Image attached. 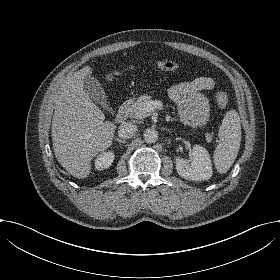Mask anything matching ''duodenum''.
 Returning <instances> with one entry per match:
<instances>
[{
  "instance_id": "1",
  "label": "duodenum",
  "mask_w": 280,
  "mask_h": 280,
  "mask_svg": "<svg viewBox=\"0 0 280 280\" xmlns=\"http://www.w3.org/2000/svg\"><path fill=\"white\" fill-rule=\"evenodd\" d=\"M129 110H130V103L129 102L122 103L118 108L115 120L118 123L124 122L126 120V118L128 117Z\"/></svg>"
}]
</instances>
